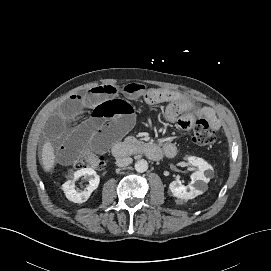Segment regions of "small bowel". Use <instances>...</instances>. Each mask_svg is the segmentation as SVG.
I'll return each mask as SVG.
<instances>
[{"label": "small bowel", "mask_w": 271, "mask_h": 271, "mask_svg": "<svg viewBox=\"0 0 271 271\" xmlns=\"http://www.w3.org/2000/svg\"><path fill=\"white\" fill-rule=\"evenodd\" d=\"M122 92L129 100L142 98L148 104L166 103L164 119L168 123L177 124L178 120L193 117L190 112L194 110L195 116L205 115L213 128L219 127L211 108L195 109L194 102L179 92L147 88L140 83L127 84ZM117 95L118 89L115 86L101 85L84 93L71 95L60 104L46 125L47 135L54 143L55 158L59 164H71L87 145L104 152L111 142L131 129L134 124V110ZM84 111H89L90 117L78 127L70 128L69 123ZM162 148L168 157L176 154V147L171 142H164Z\"/></svg>", "instance_id": "small-bowel-1"}]
</instances>
